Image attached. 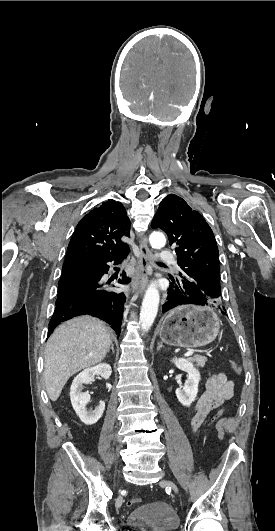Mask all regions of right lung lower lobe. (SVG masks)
<instances>
[{
    "instance_id": "1",
    "label": "right lung lower lobe",
    "mask_w": 275,
    "mask_h": 531,
    "mask_svg": "<svg viewBox=\"0 0 275 531\" xmlns=\"http://www.w3.org/2000/svg\"><path fill=\"white\" fill-rule=\"evenodd\" d=\"M129 251L128 247L120 253L64 263L48 336L59 323L85 314L106 321L117 333H120L126 297L123 293L111 291L109 282L104 283L102 276L108 272L109 262L120 264ZM130 280L123 271L118 282L127 284Z\"/></svg>"
}]
</instances>
